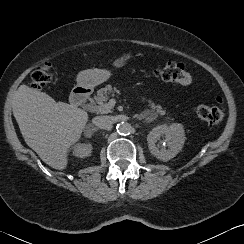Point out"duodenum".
I'll return each instance as SVG.
<instances>
[{
  "instance_id": "1",
  "label": "duodenum",
  "mask_w": 244,
  "mask_h": 244,
  "mask_svg": "<svg viewBox=\"0 0 244 244\" xmlns=\"http://www.w3.org/2000/svg\"><path fill=\"white\" fill-rule=\"evenodd\" d=\"M91 94V89L87 86H77L70 96L71 105L77 107L87 102Z\"/></svg>"
}]
</instances>
